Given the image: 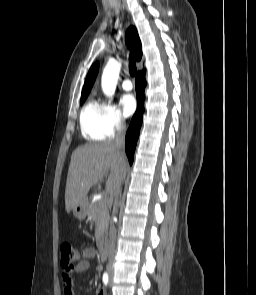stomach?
<instances>
[{"instance_id":"obj_1","label":"stomach","mask_w":256,"mask_h":295,"mask_svg":"<svg viewBox=\"0 0 256 295\" xmlns=\"http://www.w3.org/2000/svg\"><path fill=\"white\" fill-rule=\"evenodd\" d=\"M73 214L78 220H84L89 214L87 202L79 204L73 208Z\"/></svg>"}]
</instances>
